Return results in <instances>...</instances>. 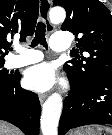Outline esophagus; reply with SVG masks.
I'll use <instances>...</instances> for the list:
<instances>
[{
	"label": "esophagus",
	"mask_w": 112,
	"mask_h": 135,
	"mask_svg": "<svg viewBox=\"0 0 112 135\" xmlns=\"http://www.w3.org/2000/svg\"><path fill=\"white\" fill-rule=\"evenodd\" d=\"M42 2L47 3L46 7H42ZM49 10H50V2L49 0H41L40 1V7H39V14L41 19L45 22L47 25L48 31H51L54 29V26L50 23L48 15H49ZM46 98L45 94L39 95V101L42 104Z\"/></svg>",
	"instance_id": "1"
}]
</instances>
